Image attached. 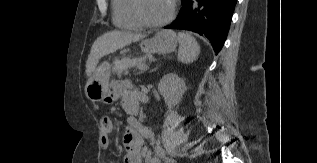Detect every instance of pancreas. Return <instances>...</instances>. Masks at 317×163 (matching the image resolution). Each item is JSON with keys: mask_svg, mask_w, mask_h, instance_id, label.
Returning <instances> with one entry per match:
<instances>
[{"mask_svg": "<svg viewBox=\"0 0 317 163\" xmlns=\"http://www.w3.org/2000/svg\"><path fill=\"white\" fill-rule=\"evenodd\" d=\"M146 57H122L121 59H115L113 61V73L121 76L122 74H127L129 69L138 68L141 65H146Z\"/></svg>", "mask_w": 317, "mask_h": 163, "instance_id": "obj_1", "label": "pancreas"}]
</instances>
